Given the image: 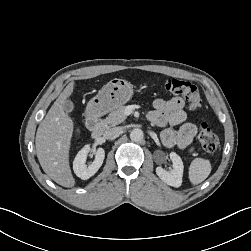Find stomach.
I'll use <instances>...</instances> for the list:
<instances>
[{"instance_id": "stomach-1", "label": "stomach", "mask_w": 251, "mask_h": 251, "mask_svg": "<svg viewBox=\"0 0 251 251\" xmlns=\"http://www.w3.org/2000/svg\"><path fill=\"white\" fill-rule=\"evenodd\" d=\"M133 95V85L124 79L110 80L87 104L89 116H100L127 103Z\"/></svg>"}]
</instances>
